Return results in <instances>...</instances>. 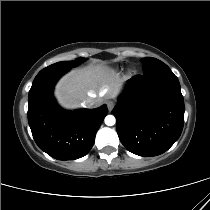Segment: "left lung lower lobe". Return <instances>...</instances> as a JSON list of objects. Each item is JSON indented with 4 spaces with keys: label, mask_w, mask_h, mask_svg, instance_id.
<instances>
[{
    "label": "left lung lower lobe",
    "mask_w": 210,
    "mask_h": 210,
    "mask_svg": "<svg viewBox=\"0 0 210 210\" xmlns=\"http://www.w3.org/2000/svg\"><path fill=\"white\" fill-rule=\"evenodd\" d=\"M125 148L140 156L167 151L184 124V100L178 78L166 64L134 76L112 110Z\"/></svg>",
    "instance_id": "1"
}]
</instances>
